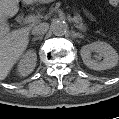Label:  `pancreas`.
Instances as JSON below:
<instances>
[{"instance_id":"obj_1","label":"pancreas","mask_w":119,"mask_h":119,"mask_svg":"<svg viewBox=\"0 0 119 119\" xmlns=\"http://www.w3.org/2000/svg\"><path fill=\"white\" fill-rule=\"evenodd\" d=\"M73 21L75 22V26L82 32H85L87 30V27L83 24L82 18L77 15L73 18Z\"/></svg>"}]
</instances>
